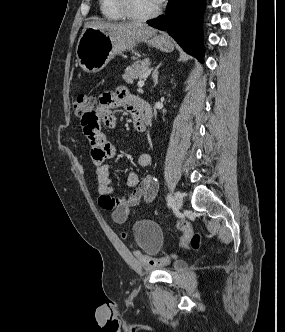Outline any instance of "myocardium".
<instances>
[{
  "instance_id": "1",
  "label": "myocardium",
  "mask_w": 285,
  "mask_h": 332,
  "mask_svg": "<svg viewBox=\"0 0 285 332\" xmlns=\"http://www.w3.org/2000/svg\"><path fill=\"white\" fill-rule=\"evenodd\" d=\"M117 6L120 11L128 18L134 21H147L157 17L161 8L158 6L153 12L148 14H139L134 10L132 0H116Z\"/></svg>"
}]
</instances>
